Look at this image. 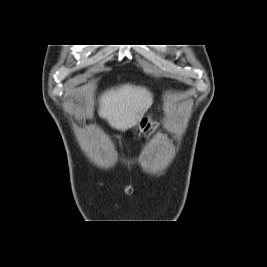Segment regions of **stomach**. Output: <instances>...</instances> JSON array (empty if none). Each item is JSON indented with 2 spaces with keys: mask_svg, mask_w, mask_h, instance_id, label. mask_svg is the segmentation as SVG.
Here are the masks:
<instances>
[{
  "mask_svg": "<svg viewBox=\"0 0 267 267\" xmlns=\"http://www.w3.org/2000/svg\"><path fill=\"white\" fill-rule=\"evenodd\" d=\"M156 126L157 122L152 119L151 115L144 114L136 124L134 134L140 137L142 134H146L150 130H154Z\"/></svg>",
  "mask_w": 267,
  "mask_h": 267,
  "instance_id": "0dacf381",
  "label": "stomach"
}]
</instances>
